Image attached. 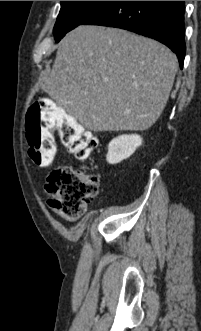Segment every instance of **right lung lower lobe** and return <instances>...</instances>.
<instances>
[{
    "label": "right lung lower lobe",
    "instance_id": "right-lung-lower-lobe-1",
    "mask_svg": "<svg viewBox=\"0 0 201 331\" xmlns=\"http://www.w3.org/2000/svg\"><path fill=\"white\" fill-rule=\"evenodd\" d=\"M184 10V1H110L83 24L117 27L156 39L177 55L182 68Z\"/></svg>",
    "mask_w": 201,
    "mask_h": 331
}]
</instances>
